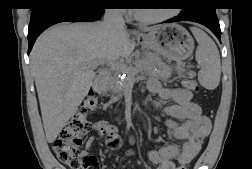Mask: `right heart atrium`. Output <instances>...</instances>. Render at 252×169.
<instances>
[{
	"label": "right heart atrium",
	"mask_w": 252,
	"mask_h": 169,
	"mask_svg": "<svg viewBox=\"0 0 252 169\" xmlns=\"http://www.w3.org/2000/svg\"><path fill=\"white\" fill-rule=\"evenodd\" d=\"M113 11L119 16H127V9H113Z\"/></svg>",
	"instance_id": "right-heart-atrium-1"
}]
</instances>
